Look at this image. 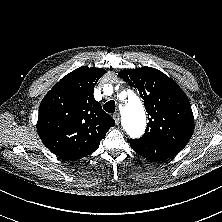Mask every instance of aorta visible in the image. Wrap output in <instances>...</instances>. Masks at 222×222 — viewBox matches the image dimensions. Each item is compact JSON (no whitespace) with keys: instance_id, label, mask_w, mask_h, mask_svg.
<instances>
[{"instance_id":"762f6f07","label":"aorta","mask_w":222,"mask_h":222,"mask_svg":"<svg viewBox=\"0 0 222 222\" xmlns=\"http://www.w3.org/2000/svg\"><path fill=\"white\" fill-rule=\"evenodd\" d=\"M123 125L130 137L139 138L143 135L146 127V116L138 99L126 102L123 110Z\"/></svg>"}]
</instances>
